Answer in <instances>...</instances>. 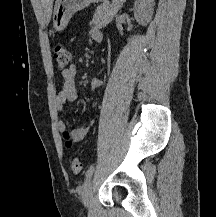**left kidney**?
<instances>
[{
    "mask_svg": "<svg viewBox=\"0 0 216 217\" xmlns=\"http://www.w3.org/2000/svg\"><path fill=\"white\" fill-rule=\"evenodd\" d=\"M133 11L136 21L146 26L153 16L154 0H136Z\"/></svg>",
    "mask_w": 216,
    "mask_h": 217,
    "instance_id": "obj_1",
    "label": "left kidney"
}]
</instances>
